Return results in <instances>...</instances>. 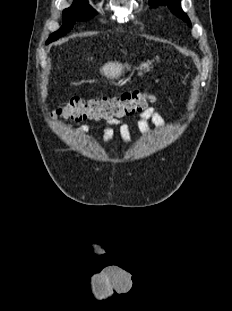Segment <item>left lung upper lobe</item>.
I'll use <instances>...</instances> for the list:
<instances>
[{
    "label": "left lung upper lobe",
    "instance_id": "5c2ea615",
    "mask_svg": "<svg viewBox=\"0 0 232 311\" xmlns=\"http://www.w3.org/2000/svg\"><path fill=\"white\" fill-rule=\"evenodd\" d=\"M150 5H167L176 16L186 21L191 27V22L187 14L180 7V0H150Z\"/></svg>",
    "mask_w": 232,
    "mask_h": 311
}]
</instances>
